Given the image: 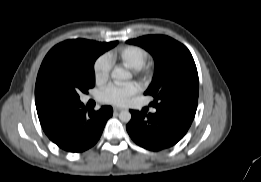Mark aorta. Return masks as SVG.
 <instances>
[{
  "instance_id": "aorta-1",
  "label": "aorta",
  "mask_w": 261,
  "mask_h": 182,
  "mask_svg": "<svg viewBox=\"0 0 261 182\" xmlns=\"http://www.w3.org/2000/svg\"><path fill=\"white\" fill-rule=\"evenodd\" d=\"M111 77L116 85H123L131 78V73L124 68H114ZM119 119L127 123L131 120V113L128 110H123L119 114Z\"/></svg>"
}]
</instances>
